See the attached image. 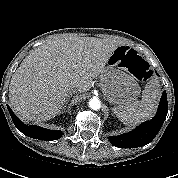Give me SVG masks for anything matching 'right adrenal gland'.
Masks as SVG:
<instances>
[{
    "label": "right adrenal gland",
    "mask_w": 178,
    "mask_h": 178,
    "mask_svg": "<svg viewBox=\"0 0 178 178\" xmlns=\"http://www.w3.org/2000/svg\"><path fill=\"white\" fill-rule=\"evenodd\" d=\"M68 101H66V105H67ZM66 106L63 107V109L65 108Z\"/></svg>",
    "instance_id": "2a0ac1e0"
}]
</instances>
